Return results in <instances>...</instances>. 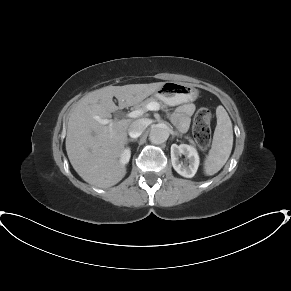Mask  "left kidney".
<instances>
[{
	"mask_svg": "<svg viewBox=\"0 0 291 291\" xmlns=\"http://www.w3.org/2000/svg\"><path fill=\"white\" fill-rule=\"evenodd\" d=\"M181 155L187 157V163H183L179 160ZM171 162L174 170L178 174L186 178H192L197 172L200 160L198 152L194 146L188 144H172Z\"/></svg>",
	"mask_w": 291,
	"mask_h": 291,
	"instance_id": "left-kidney-1",
	"label": "left kidney"
}]
</instances>
